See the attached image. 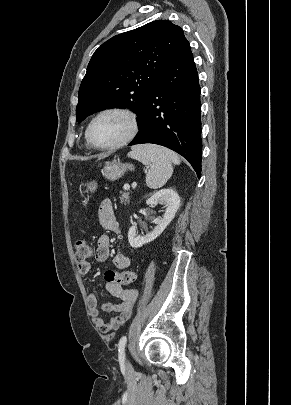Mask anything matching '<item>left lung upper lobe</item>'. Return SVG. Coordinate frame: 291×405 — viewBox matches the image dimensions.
I'll list each match as a JSON object with an SVG mask.
<instances>
[{
    "label": "left lung upper lobe",
    "instance_id": "1",
    "mask_svg": "<svg viewBox=\"0 0 291 405\" xmlns=\"http://www.w3.org/2000/svg\"><path fill=\"white\" fill-rule=\"evenodd\" d=\"M185 42L179 26L156 20L103 43L81 82L76 120L119 107L136 112L139 125L151 87Z\"/></svg>",
    "mask_w": 291,
    "mask_h": 405
}]
</instances>
